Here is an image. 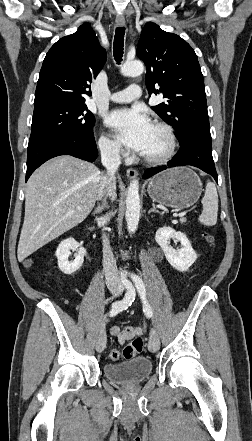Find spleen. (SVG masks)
<instances>
[{"label":"spleen","instance_id":"obj_1","mask_svg":"<svg viewBox=\"0 0 252 441\" xmlns=\"http://www.w3.org/2000/svg\"><path fill=\"white\" fill-rule=\"evenodd\" d=\"M201 202L203 211L199 216V222L205 226L215 225L218 213V194L214 183L207 182L205 194Z\"/></svg>","mask_w":252,"mask_h":441}]
</instances>
